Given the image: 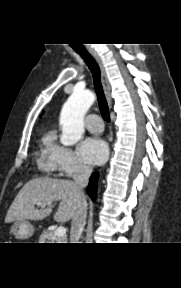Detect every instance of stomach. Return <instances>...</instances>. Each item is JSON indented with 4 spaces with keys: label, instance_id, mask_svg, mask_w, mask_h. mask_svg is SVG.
<instances>
[{
    "label": "stomach",
    "instance_id": "0dacf381",
    "mask_svg": "<svg viewBox=\"0 0 181 288\" xmlns=\"http://www.w3.org/2000/svg\"><path fill=\"white\" fill-rule=\"evenodd\" d=\"M9 231L16 239L25 240L33 235L34 227L27 221H15Z\"/></svg>",
    "mask_w": 181,
    "mask_h": 288
}]
</instances>
